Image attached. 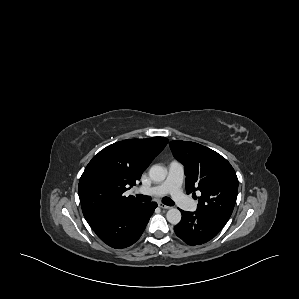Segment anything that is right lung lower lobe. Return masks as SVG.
Instances as JSON below:
<instances>
[{"mask_svg": "<svg viewBox=\"0 0 299 299\" xmlns=\"http://www.w3.org/2000/svg\"><path fill=\"white\" fill-rule=\"evenodd\" d=\"M156 207L155 202H137L88 223L97 236L110 247L126 248L140 238Z\"/></svg>", "mask_w": 299, "mask_h": 299, "instance_id": "obj_1", "label": "right lung lower lobe"}]
</instances>
